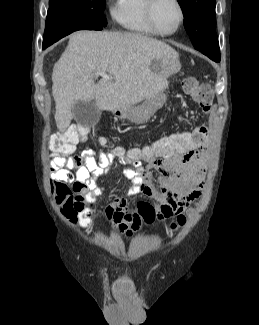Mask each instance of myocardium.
Returning <instances> with one entry per match:
<instances>
[{
	"mask_svg": "<svg viewBox=\"0 0 259 325\" xmlns=\"http://www.w3.org/2000/svg\"><path fill=\"white\" fill-rule=\"evenodd\" d=\"M156 2H157V0H146L145 16H146V20H147L148 24L156 32V34H159L162 36L173 35L174 33H176L179 30V28L182 26L184 19H185V10H184L183 4L181 3L180 0H173V2L176 4V6L179 10V20H178L176 27L172 31L163 32L157 27V25L154 21V17H153V11H154Z\"/></svg>",
	"mask_w": 259,
	"mask_h": 325,
	"instance_id": "f54148a6",
	"label": "myocardium"
}]
</instances>
